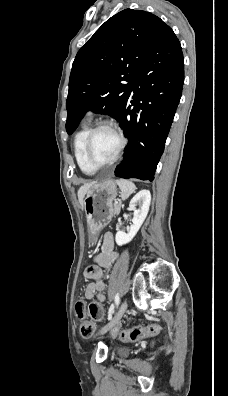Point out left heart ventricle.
<instances>
[{"label": "left heart ventricle", "instance_id": "left-heart-ventricle-1", "mask_svg": "<svg viewBox=\"0 0 228 396\" xmlns=\"http://www.w3.org/2000/svg\"><path fill=\"white\" fill-rule=\"evenodd\" d=\"M119 140L116 134L108 128L99 130L92 141L90 155L95 164L108 163L115 155Z\"/></svg>", "mask_w": 228, "mask_h": 396}]
</instances>
